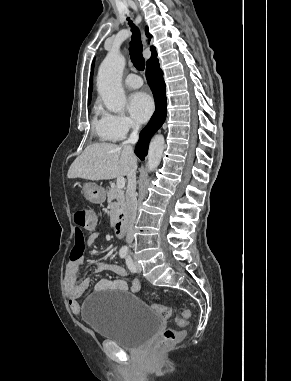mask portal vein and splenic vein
<instances>
[{"label": "portal vein and splenic vein", "mask_w": 291, "mask_h": 381, "mask_svg": "<svg viewBox=\"0 0 291 381\" xmlns=\"http://www.w3.org/2000/svg\"><path fill=\"white\" fill-rule=\"evenodd\" d=\"M116 186L119 189H122V188L125 187V179H124V177L117 178Z\"/></svg>", "instance_id": "1"}]
</instances>
